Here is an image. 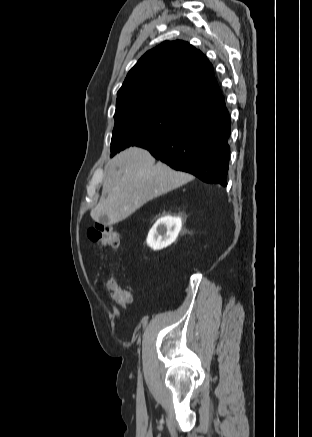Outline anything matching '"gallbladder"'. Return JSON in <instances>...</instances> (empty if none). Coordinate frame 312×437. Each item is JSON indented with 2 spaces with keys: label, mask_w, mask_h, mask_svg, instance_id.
I'll list each match as a JSON object with an SVG mask.
<instances>
[{
  "label": "gallbladder",
  "mask_w": 312,
  "mask_h": 437,
  "mask_svg": "<svg viewBox=\"0 0 312 437\" xmlns=\"http://www.w3.org/2000/svg\"><path fill=\"white\" fill-rule=\"evenodd\" d=\"M105 221L103 220V218L100 220V223H104Z\"/></svg>",
  "instance_id": "bac80fb5"
}]
</instances>
